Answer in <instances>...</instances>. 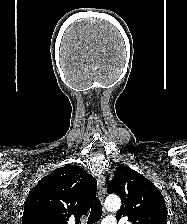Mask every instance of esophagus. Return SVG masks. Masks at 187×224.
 Returning <instances> with one entry per match:
<instances>
[{"label":"esophagus","instance_id":"1","mask_svg":"<svg viewBox=\"0 0 187 224\" xmlns=\"http://www.w3.org/2000/svg\"><path fill=\"white\" fill-rule=\"evenodd\" d=\"M98 195L101 202H103L106 195L105 178L103 175L98 176Z\"/></svg>","mask_w":187,"mask_h":224}]
</instances>
